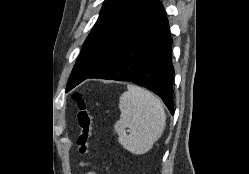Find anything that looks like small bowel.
Returning <instances> with one entry per match:
<instances>
[{"label": "small bowel", "instance_id": "obj_1", "mask_svg": "<svg viewBox=\"0 0 249 174\" xmlns=\"http://www.w3.org/2000/svg\"><path fill=\"white\" fill-rule=\"evenodd\" d=\"M80 165H81V166H85V165H87V163L81 162ZM87 174H95V173H93V172H88Z\"/></svg>", "mask_w": 249, "mask_h": 174}]
</instances>
